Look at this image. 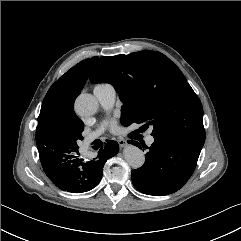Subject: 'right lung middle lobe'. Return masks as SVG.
I'll list each match as a JSON object with an SVG mask.
<instances>
[{
	"instance_id": "1",
	"label": "right lung middle lobe",
	"mask_w": 241,
	"mask_h": 241,
	"mask_svg": "<svg viewBox=\"0 0 241 241\" xmlns=\"http://www.w3.org/2000/svg\"><path fill=\"white\" fill-rule=\"evenodd\" d=\"M84 129L83 122L75 117L71 118L69 116L60 117V127L59 130L53 134L48 141L37 140V146H48L55 147L58 145H65L73 148H78L77 143L82 140L81 135Z\"/></svg>"
}]
</instances>
